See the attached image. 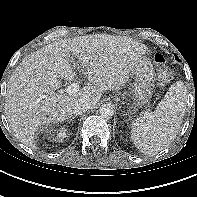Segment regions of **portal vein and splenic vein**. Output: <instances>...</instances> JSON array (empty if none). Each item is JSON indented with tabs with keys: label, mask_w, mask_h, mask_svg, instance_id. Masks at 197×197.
Returning <instances> with one entry per match:
<instances>
[{
	"label": "portal vein and splenic vein",
	"mask_w": 197,
	"mask_h": 197,
	"mask_svg": "<svg viewBox=\"0 0 197 197\" xmlns=\"http://www.w3.org/2000/svg\"><path fill=\"white\" fill-rule=\"evenodd\" d=\"M89 58L85 57L83 58V61H88ZM80 82H74L71 85H69L67 88L64 89V92H66L69 95H72L74 93H77L80 88Z\"/></svg>",
	"instance_id": "obj_1"
}]
</instances>
